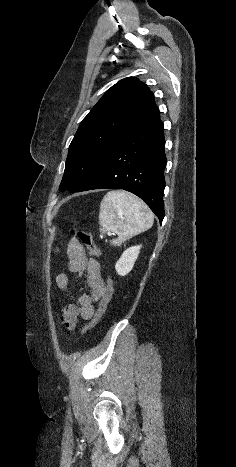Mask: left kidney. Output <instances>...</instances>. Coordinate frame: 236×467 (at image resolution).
<instances>
[{"instance_id":"obj_1","label":"left kidney","mask_w":236,"mask_h":467,"mask_svg":"<svg viewBox=\"0 0 236 467\" xmlns=\"http://www.w3.org/2000/svg\"><path fill=\"white\" fill-rule=\"evenodd\" d=\"M141 246H132L126 249L115 265L116 272L121 275H127L133 268L134 263L139 255Z\"/></svg>"}]
</instances>
